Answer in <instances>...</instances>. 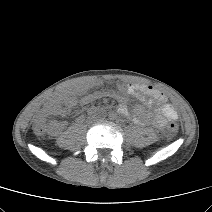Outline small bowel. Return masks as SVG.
<instances>
[{
	"instance_id": "1",
	"label": "small bowel",
	"mask_w": 212,
	"mask_h": 212,
	"mask_svg": "<svg viewBox=\"0 0 212 212\" xmlns=\"http://www.w3.org/2000/svg\"><path fill=\"white\" fill-rule=\"evenodd\" d=\"M104 83L100 80L89 83H81L74 87L62 90L57 93L51 101L49 109L60 116H66L76 105H87L101 98H112L118 102V112L123 116H130L128 109V99L126 95L139 97L147 104L156 102L160 105V115L153 117L143 107L138 106L133 114V120L140 125L152 124L156 128L165 127L168 121H175L178 114L174 106L167 102L166 96L153 86L141 85L136 83L120 84L118 91L102 90ZM95 89L93 92H89ZM82 118L78 117L77 121ZM64 123H55L52 127V133L58 134L64 128Z\"/></svg>"
}]
</instances>
